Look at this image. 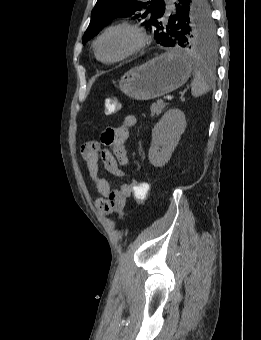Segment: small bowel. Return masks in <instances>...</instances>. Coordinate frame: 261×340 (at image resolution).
<instances>
[{
  "label": "small bowel",
  "mask_w": 261,
  "mask_h": 340,
  "mask_svg": "<svg viewBox=\"0 0 261 340\" xmlns=\"http://www.w3.org/2000/svg\"><path fill=\"white\" fill-rule=\"evenodd\" d=\"M136 124L134 115H125L120 124L105 129L100 141H89L82 145L81 155L90 179L99 198L96 207L104 214L121 212L127 199L132 195L130 184L124 183L119 187H113L100 172V161L104 170L118 178L125 179L127 173L121 168L130 164L125 148V142L129 136V129ZM102 145L113 147V151L102 148Z\"/></svg>",
  "instance_id": "c3829d8e"
}]
</instances>
